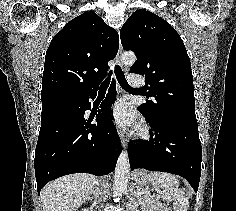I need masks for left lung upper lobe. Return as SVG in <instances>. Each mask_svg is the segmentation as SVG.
Listing matches in <instances>:
<instances>
[{
  "mask_svg": "<svg viewBox=\"0 0 236 211\" xmlns=\"http://www.w3.org/2000/svg\"><path fill=\"white\" fill-rule=\"evenodd\" d=\"M124 50L137 61L130 68L145 75L147 101L139 109L149 118L197 122L190 59L180 35L167 21L144 9L135 11L120 31Z\"/></svg>",
  "mask_w": 236,
  "mask_h": 211,
  "instance_id": "1",
  "label": "left lung upper lobe"
}]
</instances>
